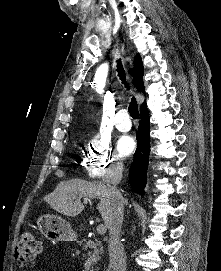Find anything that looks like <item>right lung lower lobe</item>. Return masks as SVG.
<instances>
[{
  "label": "right lung lower lobe",
  "instance_id": "1",
  "mask_svg": "<svg viewBox=\"0 0 221 271\" xmlns=\"http://www.w3.org/2000/svg\"><path fill=\"white\" fill-rule=\"evenodd\" d=\"M141 121L137 133V149L134 161L130 167L129 180L132 189L140 194H145L144 187L147 183V168L149 161L150 139H149V113L147 106L140 110Z\"/></svg>",
  "mask_w": 221,
  "mask_h": 271
}]
</instances>
